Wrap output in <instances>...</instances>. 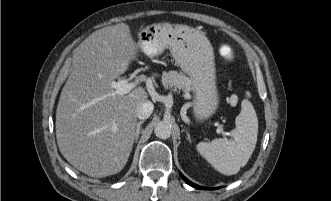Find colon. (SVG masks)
Masks as SVG:
<instances>
[{
	"label": "colon",
	"mask_w": 331,
	"mask_h": 201,
	"mask_svg": "<svg viewBox=\"0 0 331 201\" xmlns=\"http://www.w3.org/2000/svg\"><path fill=\"white\" fill-rule=\"evenodd\" d=\"M220 53L226 59H230L233 56V51H232L231 47H229L227 45H224L221 47Z\"/></svg>",
	"instance_id": "colon-1"
}]
</instances>
